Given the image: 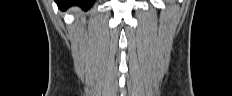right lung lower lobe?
<instances>
[{
	"label": "right lung lower lobe",
	"instance_id": "obj_1",
	"mask_svg": "<svg viewBox=\"0 0 232 96\" xmlns=\"http://www.w3.org/2000/svg\"><path fill=\"white\" fill-rule=\"evenodd\" d=\"M55 2L61 10H65L73 5H78L83 9H88L93 5L95 0H55Z\"/></svg>",
	"mask_w": 232,
	"mask_h": 96
}]
</instances>
